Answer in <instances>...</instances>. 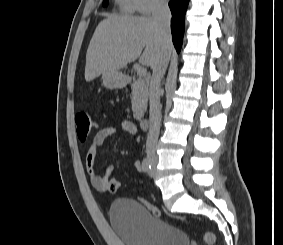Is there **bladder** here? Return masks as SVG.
I'll return each instance as SVG.
<instances>
[{"label":"bladder","instance_id":"obj_1","mask_svg":"<svg viewBox=\"0 0 283 245\" xmlns=\"http://www.w3.org/2000/svg\"><path fill=\"white\" fill-rule=\"evenodd\" d=\"M109 219L125 245H189L186 233L158 219L144 204L133 199L113 201Z\"/></svg>","mask_w":283,"mask_h":245}]
</instances>
